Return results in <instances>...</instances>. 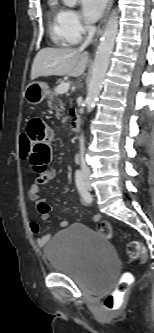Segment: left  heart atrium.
Here are the masks:
<instances>
[{
  "mask_svg": "<svg viewBox=\"0 0 154 333\" xmlns=\"http://www.w3.org/2000/svg\"><path fill=\"white\" fill-rule=\"evenodd\" d=\"M107 0H81L83 15L89 22L97 21L105 8Z\"/></svg>",
  "mask_w": 154,
  "mask_h": 333,
  "instance_id": "left-heart-atrium-1",
  "label": "left heart atrium"
}]
</instances>
